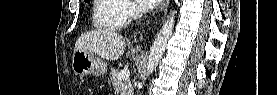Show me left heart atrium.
Wrapping results in <instances>:
<instances>
[{"instance_id": "obj_1", "label": "left heart atrium", "mask_w": 277, "mask_h": 95, "mask_svg": "<svg viewBox=\"0 0 277 95\" xmlns=\"http://www.w3.org/2000/svg\"><path fill=\"white\" fill-rule=\"evenodd\" d=\"M140 9L150 10L155 7L157 0H135Z\"/></svg>"}]
</instances>
